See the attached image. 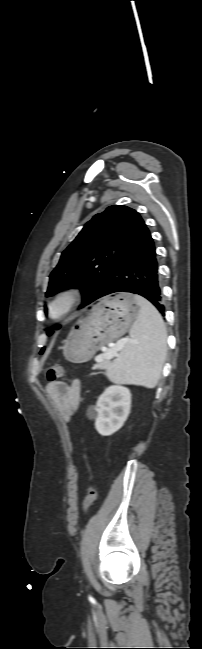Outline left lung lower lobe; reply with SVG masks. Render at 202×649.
I'll use <instances>...</instances> for the list:
<instances>
[{
  "mask_svg": "<svg viewBox=\"0 0 202 649\" xmlns=\"http://www.w3.org/2000/svg\"><path fill=\"white\" fill-rule=\"evenodd\" d=\"M122 291L147 298L162 316H165L155 246L145 223L128 242L96 299ZM41 351L43 352L44 348Z\"/></svg>",
  "mask_w": 202,
  "mask_h": 649,
  "instance_id": "obj_1",
  "label": "left lung lower lobe"
}]
</instances>
